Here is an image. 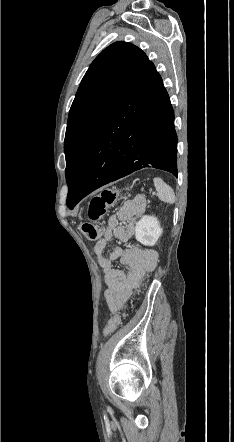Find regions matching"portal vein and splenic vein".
Instances as JSON below:
<instances>
[{"label": "portal vein and splenic vein", "mask_w": 234, "mask_h": 442, "mask_svg": "<svg viewBox=\"0 0 234 442\" xmlns=\"http://www.w3.org/2000/svg\"><path fill=\"white\" fill-rule=\"evenodd\" d=\"M153 195H156V192H152Z\"/></svg>", "instance_id": "18ae733b"}]
</instances>
